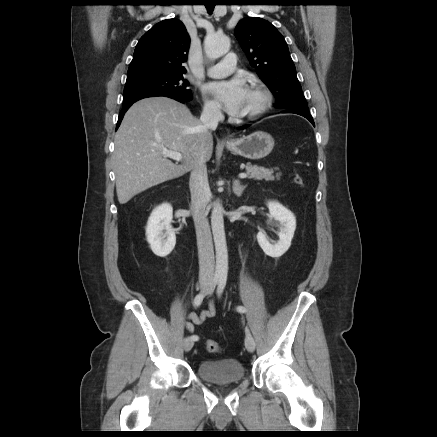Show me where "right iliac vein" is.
Listing matches in <instances>:
<instances>
[{"instance_id":"1","label":"right iliac vein","mask_w":437,"mask_h":437,"mask_svg":"<svg viewBox=\"0 0 437 437\" xmlns=\"http://www.w3.org/2000/svg\"><path fill=\"white\" fill-rule=\"evenodd\" d=\"M207 287H208L207 283H202L201 284V290L204 291V290L207 289ZM193 345H194V340L191 337H187V338L184 339L183 347H184V350L186 352L190 351L192 349Z\"/></svg>"}]
</instances>
